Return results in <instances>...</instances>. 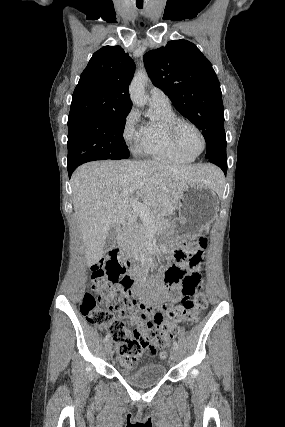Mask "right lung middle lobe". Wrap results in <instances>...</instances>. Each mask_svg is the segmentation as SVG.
Returning <instances> with one entry per match:
<instances>
[{
    "mask_svg": "<svg viewBox=\"0 0 285 427\" xmlns=\"http://www.w3.org/2000/svg\"><path fill=\"white\" fill-rule=\"evenodd\" d=\"M127 114L109 113L68 121L67 169L93 160L128 158L122 135Z\"/></svg>",
    "mask_w": 285,
    "mask_h": 427,
    "instance_id": "1",
    "label": "right lung middle lobe"
}]
</instances>
